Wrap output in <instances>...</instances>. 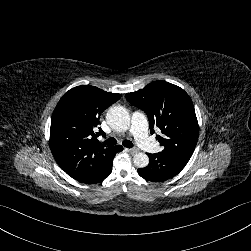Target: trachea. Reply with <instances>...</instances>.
I'll return each mask as SVG.
<instances>
[{"instance_id": "trachea-1", "label": "trachea", "mask_w": 251, "mask_h": 251, "mask_svg": "<svg viewBox=\"0 0 251 251\" xmlns=\"http://www.w3.org/2000/svg\"><path fill=\"white\" fill-rule=\"evenodd\" d=\"M104 144L106 145H115L116 144V139L115 138H109L107 140L104 141ZM123 146L127 147V148H132L133 147V143L129 140H124L123 141Z\"/></svg>"}]
</instances>
